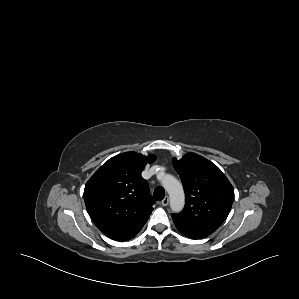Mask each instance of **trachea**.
<instances>
[{"label":"trachea","instance_id":"obj_1","mask_svg":"<svg viewBox=\"0 0 299 299\" xmlns=\"http://www.w3.org/2000/svg\"><path fill=\"white\" fill-rule=\"evenodd\" d=\"M153 197L157 201H161L165 197V190L162 187H157L154 190Z\"/></svg>","mask_w":299,"mask_h":299}]
</instances>
